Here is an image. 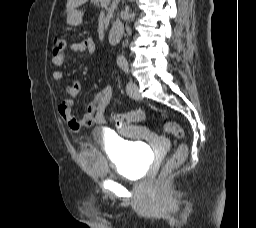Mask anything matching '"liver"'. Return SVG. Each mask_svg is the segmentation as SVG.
<instances>
[{"label":"liver","instance_id":"1","mask_svg":"<svg viewBox=\"0 0 256 228\" xmlns=\"http://www.w3.org/2000/svg\"><path fill=\"white\" fill-rule=\"evenodd\" d=\"M87 1L88 0H67V4H66L67 11L86 3Z\"/></svg>","mask_w":256,"mask_h":228}]
</instances>
